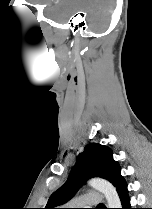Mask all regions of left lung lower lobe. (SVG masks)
Instances as JSON below:
<instances>
[{
	"label": "left lung lower lobe",
	"instance_id": "0a47b994",
	"mask_svg": "<svg viewBox=\"0 0 152 209\" xmlns=\"http://www.w3.org/2000/svg\"><path fill=\"white\" fill-rule=\"evenodd\" d=\"M122 208L121 209H133L130 205V198L128 195L127 183L126 181L117 190Z\"/></svg>",
	"mask_w": 152,
	"mask_h": 209
}]
</instances>
